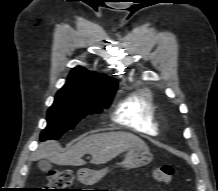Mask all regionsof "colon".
I'll return each instance as SVG.
<instances>
[{"instance_id": "obj_1", "label": "colon", "mask_w": 218, "mask_h": 191, "mask_svg": "<svg viewBox=\"0 0 218 191\" xmlns=\"http://www.w3.org/2000/svg\"><path fill=\"white\" fill-rule=\"evenodd\" d=\"M173 173L172 166L163 165L153 171V177L157 182L167 184L171 181ZM71 182L72 173L69 170L52 171L48 175L47 191H71L68 189Z\"/></svg>"}]
</instances>
